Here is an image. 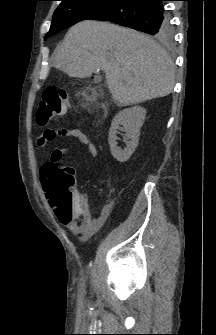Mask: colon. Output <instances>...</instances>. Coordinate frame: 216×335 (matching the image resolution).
Segmentation results:
<instances>
[{"instance_id": "5ec220e1", "label": "colon", "mask_w": 216, "mask_h": 335, "mask_svg": "<svg viewBox=\"0 0 216 335\" xmlns=\"http://www.w3.org/2000/svg\"><path fill=\"white\" fill-rule=\"evenodd\" d=\"M73 104L65 90L56 87L46 88L37 109V124L41 127L47 126L54 118L65 114ZM51 167L53 168L48 183L51 187L49 194L58 208L61 209L62 218H66L76 207L72 192L75 172L72 168L54 166L52 163L46 164L44 170H49Z\"/></svg>"}]
</instances>
